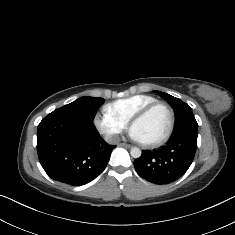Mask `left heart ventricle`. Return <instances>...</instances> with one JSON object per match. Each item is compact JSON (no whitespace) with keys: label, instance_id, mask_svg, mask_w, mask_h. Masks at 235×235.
<instances>
[{"label":"left heart ventricle","instance_id":"obj_1","mask_svg":"<svg viewBox=\"0 0 235 235\" xmlns=\"http://www.w3.org/2000/svg\"><path fill=\"white\" fill-rule=\"evenodd\" d=\"M169 125V114L165 109L158 108L146 118L135 122L132 127L140 136L141 142L150 143L163 137L167 133Z\"/></svg>","mask_w":235,"mask_h":235}]
</instances>
